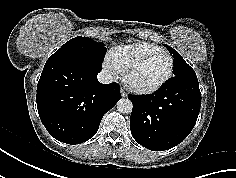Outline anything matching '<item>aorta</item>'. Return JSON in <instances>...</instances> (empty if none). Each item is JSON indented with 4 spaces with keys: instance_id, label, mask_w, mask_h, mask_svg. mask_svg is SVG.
<instances>
[{
    "instance_id": "obj_1",
    "label": "aorta",
    "mask_w": 236,
    "mask_h": 178,
    "mask_svg": "<svg viewBox=\"0 0 236 178\" xmlns=\"http://www.w3.org/2000/svg\"><path fill=\"white\" fill-rule=\"evenodd\" d=\"M132 109H133L132 102L128 98H121L117 102V110L122 114L131 113Z\"/></svg>"
}]
</instances>
